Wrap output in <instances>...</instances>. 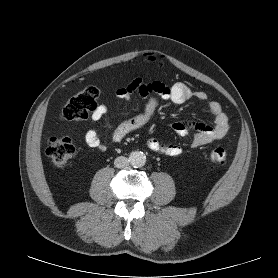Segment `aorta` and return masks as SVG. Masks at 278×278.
<instances>
[{
    "instance_id": "762f6f07",
    "label": "aorta",
    "mask_w": 278,
    "mask_h": 278,
    "mask_svg": "<svg viewBox=\"0 0 278 278\" xmlns=\"http://www.w3.org/2000/svg\"><path fill=\"white\" fill-rule=\"evenodd\" d=\"M129 162L134 167H142L146 163V156L141 151H133L129 156Z\"/></svg>"
}]
</instances>
